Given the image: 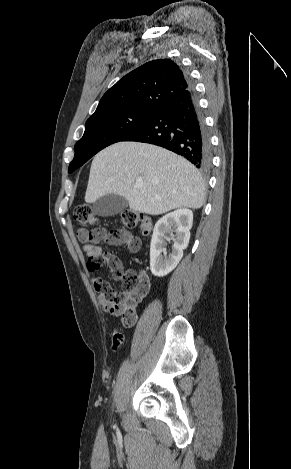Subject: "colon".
I'll use <instances>...</instances> for the list:
<instances>
[{"instance_id":"colon-1","label":"colon","mask_w":291,"mask_h":469,"mask_svg":"<svg viewBox=\"0 0 291 469\" xmlns=\"http://www.w3.org/2000/svg\"><path fill=\"white\" fill-rule=\"evenodd\" d=\"M74 219L83 226L86 238L92 243L122 242L125 240L126 230L139 226L143 234H148L152 229L151 219L143 213L134 210H125L120 214L122 229L108 231L98 226V217L89 204H81L73 210ZM105 264L102 257L90 258L87 262L91 271L99 269ZM113 275L121 282V290L114 291L108 283L99 282L95 285L98 292L114 303L113 312L120 316L121 324L131 327L137 319L136 308L145 296V289L138 286L140 278L133 270L123 272L121 267L112 266ZM123 336L114 332L112 336V349L117 350L121 345Z\"/></svg>"}]
</instances>
